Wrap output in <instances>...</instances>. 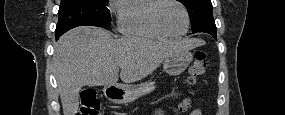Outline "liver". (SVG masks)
I'll return each mask as SVG.
<instances>
[{"mask_svg":"<svg viewBox=\"0 0 285 115\" xmlns=\"http://www.w3.org/2000/svg\"><path fill=\"white\" fill-rule=\"evenodd\" d=\"M202 40L154 41L140 37L114 39L103 28L77 27L55 45L53 64L64 115H76L83 86L116 85L150 75L167 57L188 52Z\"/></svg>","mask_w":285,"mask_h":115,"instance_id":"liver-1","label":"liver"}]
</instances>
